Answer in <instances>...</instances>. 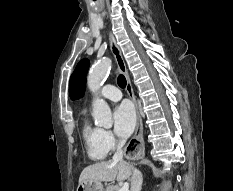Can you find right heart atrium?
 Returning a JSON list of instances; mask_svg holds the SVG:
<instances>
[{
	"label": "right heart atrium",
	"mask_w": 233,
	"mask_h": 191,
	"mask_svg": "<svg viewBox=\"0 0 233 191\" xmlns=\"http://www.w3.org/2000/svg\"><path fill=\"white\" fill-rule=\"evenodd\" d=\"M101 143L107 152H111L120 142L111 131L101 130Z\"/></svg>",
	"instance_id": "d8ad5b80"
}]
</instances>
